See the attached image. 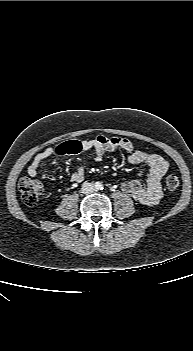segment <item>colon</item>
Returning a JSON list of instances; mask_svg holds the SVG:
<instances>
[{"label":"colon","mask_w":193,"mask_h":351,"mask_svg":"<svg viewBox=\"0 0 193 351\" xmlns=\"http://www.w3.org/2000/svg\"><path fill=\"white\" fill-rule=\"evenodd\" d=\"M54 154L57 155L55 153V150H54ZM67 155H72V154H67ZM165 183H166V187L169 190H175L176 188H178L180 180L178 175H176L175 173H171L167 175ZM18 187H19L21 198L23 202L27 205H34L35 203H37L38 200L43 195V191H44L42 183L38 180L31 179V178H22L19 181Z\"/></svg>","instance_id":"1"}]
</instances>
